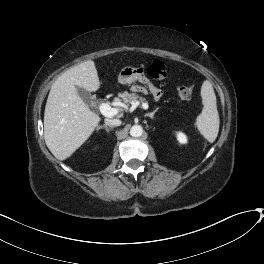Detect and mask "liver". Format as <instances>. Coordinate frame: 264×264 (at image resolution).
I'll use <instances>...</instances> for the list:
<instances>
[{
	"label": "liver",
	"mask_w": 264,
	"mask_h": 264,
	"mask_svg": "<svg viewBox=\"0 0 264 264\" xmlns=\"http://www.w3.org/2000/svg\"><path fill=\"white\" fill-rule=\"evenodd\" d=\"M77 87L88 92L100 88L92 60L64 72L49 92L44 112V139L58 160L67 159L80 148L101 120L79 96Z\"/></svg>",
	"instance_id": "liver-1"
}]
</instances>
